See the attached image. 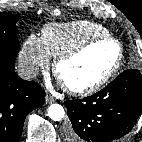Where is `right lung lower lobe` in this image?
<instances>
[{
	"label": "right lung lower lobe",
	"instance_id": "1",
	"mask_svg": "<svg viewBox=\"0 0 142 142\" xmlns=\"http://www.w3.org/2000/svg\"><path fill=\"white\" fill-rule=\"evenodd\" d=\"M14 67L0 59V142H19L27 114L45 99L41 86L22 80Z\"/></svg>",
	"mask_w": 142,
	"mask_h": 142
}]
</instances>
